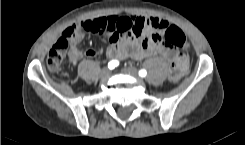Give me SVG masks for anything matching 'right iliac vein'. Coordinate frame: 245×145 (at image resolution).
I'll use <instances>...</instances> for the list:
<instances>
[{
	"mask_svg": "<svg viewBox=\"0 0 245 145\" xmlns=\"http://www.w3.org/2000/svg\"><path fill=\"white\" fill-rule=\"evenodd\" d=\"M110 69L109 68H103L100 72V77L105 78L109 75Z\"/></svg>",
	"mask_w": 245,
	"mask_h": 145,
	"instance_id": "1",
	"label": "right iliac vein"
}]
</instances>
